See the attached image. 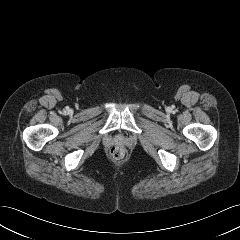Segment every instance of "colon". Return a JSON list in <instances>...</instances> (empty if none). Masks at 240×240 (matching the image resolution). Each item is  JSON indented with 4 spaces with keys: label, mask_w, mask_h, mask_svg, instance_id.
Listing matches in <instances>:
<instances>
[{
    "label": "colon",
    "mask_w": 240,
    "mask_h": 240,
    "mask_svg": "<svg viewBox=\"0 0 240 240\" xmlns=\"http://www.w3.org/2000/svg\"><path fill=\"white\" fill-rule=\"evenodd\" d=\"M110 155L115 160H122L126 155V150L122 146H114L110 150Z\"/></svg>",
    "instance_id": "obj_1"
}]
</instances>
